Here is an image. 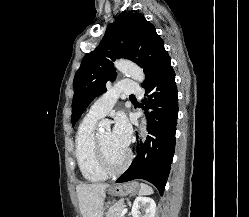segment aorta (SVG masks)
Here are the masks:
<instances>
[{
	"label": "aorta",
	"instance_id": "762f6f07",
	"mask_svg": "<svg viewBox=\"0 0 249 217\" xmlns=\"http://www.w3.org/2000/svg\"><path fill=\"white\" fill-rule=\"evenodd\" d=\"M115 68L122 73L130 75L134 80L142 82L144 81V73L143 70L138 67L136 64L127 61V60H117L114 63ZM142 132L140 133V137L143 139L144 132H146V120L142 119Z\"/></svg>",
	"mask_w": 249,
	"mask_h": 217
}]
</instances>
